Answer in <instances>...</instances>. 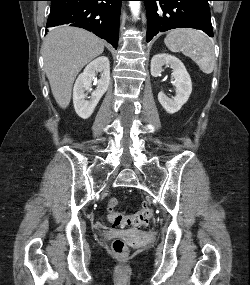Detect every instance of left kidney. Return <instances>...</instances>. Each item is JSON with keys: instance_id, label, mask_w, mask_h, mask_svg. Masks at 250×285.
<instances>
[{"instance_id": "5707ae66", "label": "left kidney", "mask_w": 250, "mask_h": 285, "mask_svg": "<svg viewBox=\"0 0 250 285\" xmlns=\"http://www.w3.org/2000/svg\"><path fill=\"white\" fill-rule=\"evenodd\" d=\"M166 65L172 69V82L176 90V95L173 99L168 98L162 91L158 94V101L169 114L178 112L181 107L187 102L192 92V82L184 64L176 57L160 53L156 54L151 59V75L153 77L161 76L162 67Z\"/></svg>"}]
</instances>
